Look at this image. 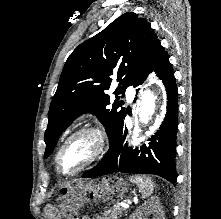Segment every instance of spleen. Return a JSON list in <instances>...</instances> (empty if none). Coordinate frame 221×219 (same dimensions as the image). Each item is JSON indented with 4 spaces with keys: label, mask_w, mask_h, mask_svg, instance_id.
Masks as SVG:
<instances>
[{
    "label": "spleen",
    "mask_w": 221,
    "mask_h": 219,
    "mask_svg": "<svg viewBox=\"0 0 221 219\" xmlns=\"http://www.w3.org/2000/svg\"><path fill=\"white\" fill-rule=\"evenodd\" d=\"M130 180H132L134 183L137 184L143 198H147L152 194L154 189V184L151 178L145 176L143 177L135 176L132 177Z\"/></svg>",
    "instance_id": "1"
}]
</instances>
